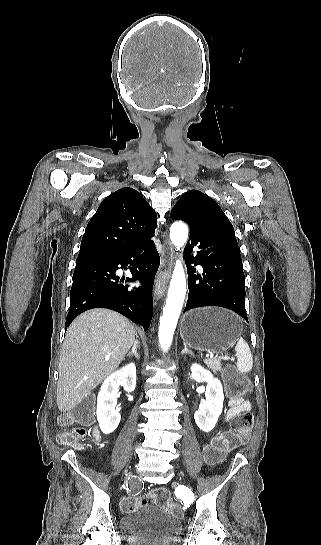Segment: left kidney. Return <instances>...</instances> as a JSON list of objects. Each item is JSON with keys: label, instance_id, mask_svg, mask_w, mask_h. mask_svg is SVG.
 Segmentation results:
<instances>
[{"label": "left kidney", "instance_id": "left-kidney-1", "mask_svg": "<svg viewBox=\"0 0 321 545\" xmlns=\"http://www.w3.org/2000/svg\"><path fill=\"white\" fill-rule=\"evenodd\" d=\"M190 379L196 383H207L205 403L199 405L198 411L194 415L195 423L204 433H210L214 429L218 417L223 409L224 393L219 379H214L210 371H206L201 365H192L190 367Z\"/></svg>", "mask_w": 321, "mask_h": 545}]
</instances>
